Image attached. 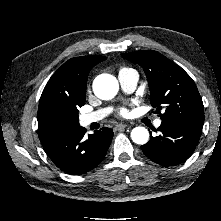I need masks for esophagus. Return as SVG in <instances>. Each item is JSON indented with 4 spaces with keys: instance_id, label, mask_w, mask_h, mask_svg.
<instances>
[{
    "instance_id": "1",
    "label": "esophagus",
    "mask_w": 221,
    "mask_h": 221,
    "mask_svg": "<svg viewBox=\"0 0 221 221\" xmlns=\"http://www.w3.org/2000/svg\"><path fill=\"white\" fill-rule=\"evenodd\" d=\"M125 128H130V125L121 123V124H117L115 126V130H122V129H125Z\"/></svg>"
}]
</instances>
